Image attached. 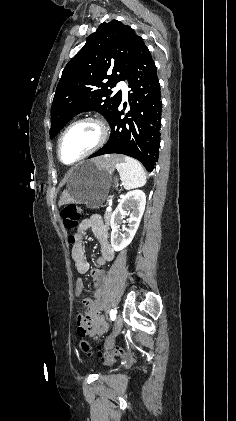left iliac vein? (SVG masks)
<instances>
[{"label":"left iliac vein","mask_w":236,"mask_h":421,"mask_svg":"<svg viewBox=\"0 0 236 421\" xmlns=\"http://www.w3.org/2000/svg\"><path fill=\"white\" fill-rule=\"evenodd\" d=\"M122 326H123V318L119 314L117 315L115 323H114L113 337H111L105 344L107 348L111 347L114 344V338L120 333Z\"/></svg>","instance_id":"left-iliac-vein-1"}]
</instances>
